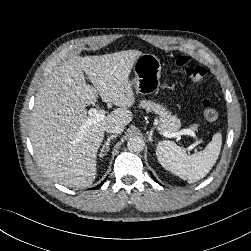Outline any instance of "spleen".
<instances>
[{
    "label": "spleen",
    "instance_id": "spleen-1",
    "mask_svg": "<svg viewBox=\"0 0 251 251\" xmlns=\"http://www.w3.org/2000/svg\"><path fill=\"white\" fill-rule=\"evenodd\" d=\"M222 145L221 133L213 135L203 151L187 155L184 148L172 141H161L156 148L159 163L174 175L194 183L204 178L216 163Z\"/></svg>",
    "mask_w": 251,
    "mask_h": 251
}]
</instances>
